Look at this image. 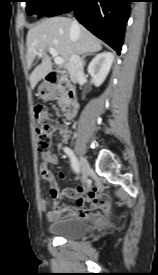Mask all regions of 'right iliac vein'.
I'll return each mask as SVG.
<instances>
[{"instance_id": "63e3f726", "label": "right iliac vein", "mask_w": 158, "mask_h": 275, "mask_svg": "<svg viewBox=\"0 0 158 275\" xmlns=\"http://www.w3.org/2000/svg\"><path fill=\"white\" fill-rule=\"evenodd\" d=\"M80 166L82 169L84 179H87L89 176V173L91 171V168H90V165H89L87 159L84 158L83 156L80 157Z\"/></svg>"}]
</instances>
